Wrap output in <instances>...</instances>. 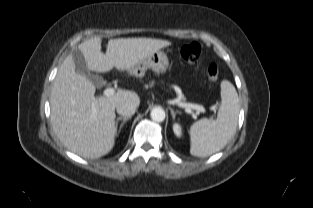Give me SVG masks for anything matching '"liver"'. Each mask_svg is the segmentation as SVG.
<instances>
[{
  "label": "liver",
  "instance_id": "obj_1",
  "mask_svg": "<svg viewBox=\"0 0 313 208\" xmlns=\"http://www.w3.org/2000/svg\"><path fill=\"white\" fill-rule=\"evenodd\" d=\"M100 37L82 42L78 49L88 68L97 73L131 69L152 53L171 45L170 41L152 38H118L108 41L106 54L101 51ZM95 85L75 70L69 54L53 81L50 106L53 130L63 145L84 158L97 159L108 154L115 142V108L130 102L136 107V92L120 90L110 97L95 96Z\"/></svg>",
  "mask_w": 313,
  "mask_h": 208
}]
</instances>
